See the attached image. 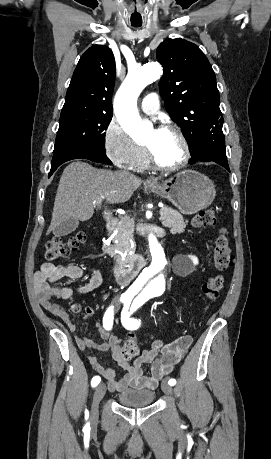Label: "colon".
Instances as JSON below:
<instances>
[{
	"instance_id": "colon-1",
	"label": "colon",
	"mask_w": 271,
	"mask_h": 459,
	"mask_svg": "<svg viewBox=\"0 0 271 459\" xmlns=\"http://www.w3.org/2000/svg\"><path fill=\"white\" fill-rule=\"evenodd\" d=\"M215 216L212 210H202L192 219L193 227L200 229L213 225ZM86 235L82 232L72 236L54 237L46 244L45 257L47 260L53 261L65 258L70 255L80 244L84 243ZM234 264V256L232 254L229 239L225 231H220L215 239L214 247V266L220 272H225ZM223 290V277L214 276L209 278L203 285V292L209 299H216ZM78 309V307H75ZM139 353L137 338L134 334H129L122 349L121 357L125 361H131Z\"/></svg>"
}]
</instances>
